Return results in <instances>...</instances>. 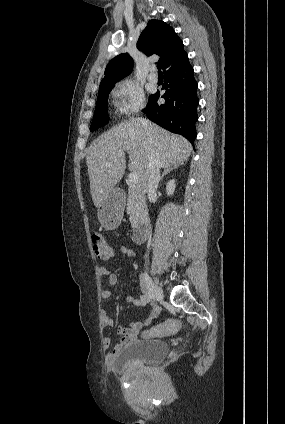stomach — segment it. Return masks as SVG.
Wrapping results in <instances>:
<instances>
[{
  "mask_svg": "<svg viewBox=\"0 0 285 424\" xmlns=\"http://www.w3.org/2000/svg\"><path fill=\"white\" fill-rule=\"evenodd\" d=\"M125 201L111 192L98 207V220L106 229L116 228L123 216Z\"/></svg>",
  "mask_w": 285,
  "mask_h": 424,
  "instance_id": "stomach-1",
  "label": "stomach"
}]
</instances>
